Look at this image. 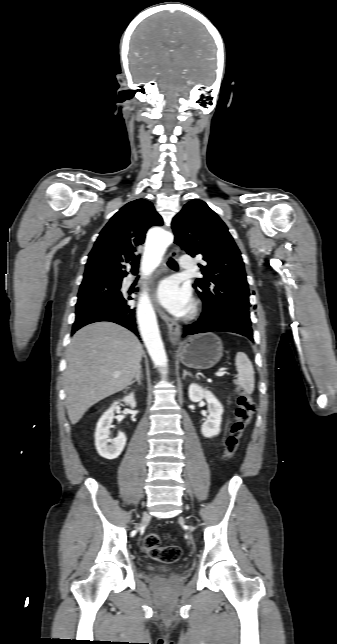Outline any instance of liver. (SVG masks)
Here are the masks:
<instances>
[{"label":"liver","mask_w":337,"mask_h":644,"mask_svg":"<svg viewBox=\"0 0 337 644\" xmlns=\"http://www.w3.org/2000/svg\"><path fill=\"white\" fill-rule=\"evenodd\" d=\"M138 338L112 322H97L77 331L66 354L64 388L71 424L100 400L128 385L140 370Z\"/></svg>","instance_id":"obj_1"}]
</instances>
